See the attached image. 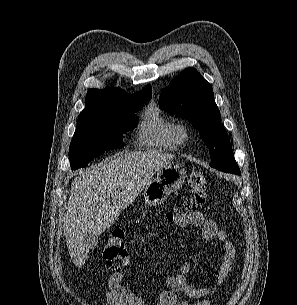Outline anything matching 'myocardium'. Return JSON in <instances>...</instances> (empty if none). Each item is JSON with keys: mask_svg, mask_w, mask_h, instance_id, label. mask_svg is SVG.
<instances>
[{"mask_svg": "<svg viewBox=\"0 0 297 305\" xmlns=\"http://www.w3.org/2000/svg\"><path fill=\"white\" fill-rule=\"evenodd\" d=\"M174 133L179 144L186 142L190 136L189 127L184 123L175 124Z\"/></svg>", "mask_w": 297, "mask_h": 305, "instance_id": "1", "label": "myocardium"}]
</instances>
